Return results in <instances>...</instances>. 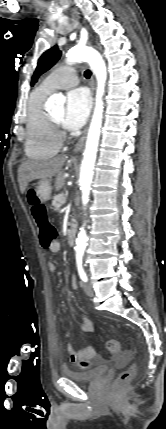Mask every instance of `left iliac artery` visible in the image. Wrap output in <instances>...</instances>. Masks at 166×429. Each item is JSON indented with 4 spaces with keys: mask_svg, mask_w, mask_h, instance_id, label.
<instances>
[{
    "mask_svg": "<svg viewBox=\"0 0 166 429\" xmlns=\"http://www.w3.org/2000/svg\"><path fill=\"white\" fill-rule=\"evenodd\" d=\"M76 264H77V269H78V273L80 276V279L83 282H87L88 281V277L84 271L83 265H82V256L81 255H77L76 256Z\"/></svg>",
    "mask_w": 166,
    "mask_h": 429,
    "instance_id": "left-iliac-artery-1",
    "label": "left iliac artery"
}]
</instances>
